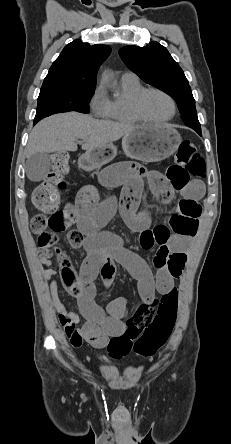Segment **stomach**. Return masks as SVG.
Listing matches in <instances>:
<instances>
[{"label":"stomach","instance_id":"obj_1","mask_svg":"<svg viewBox=\"0 0 231 444\" xmlns=\"http://www.w3.org/2000/svg\"><path fill=\"white\" fill-rule=\"evenodd\" d=\"M182 139L170 125L147 124L137 126L122 139L125 154L142 162H157L176 152ZM117 154L113 144L95 148L79 159V166L87 171L94 170L110 162Z\"/></svg>","mask_w":231,"mask_h":444}]
</instances>
